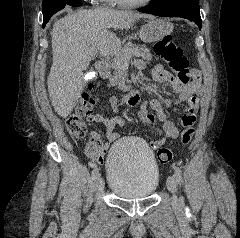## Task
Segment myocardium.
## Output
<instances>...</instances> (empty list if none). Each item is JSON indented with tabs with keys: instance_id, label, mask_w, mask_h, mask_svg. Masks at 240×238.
Wrapping results in <instances>:
<instances>
[{
	"instance_id": "myocardium-1",
	"label": "myocardium",
	"mask_w": 240,
	"mask_h": 238,
	"mask_svg": "<svg viewBox=\"0 0 240 238\" xmlns=\"http://www.w3.org/2000/svg\"><path fill=\"white\" fill-rule=\"evenodd\" d=\"M115 4L124 8H137L149 4L152 0H141L138 2H127L124 0H113Z\"/></svg>"
}]
</instances>
